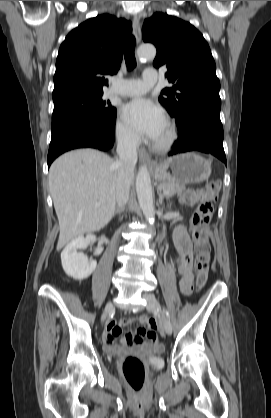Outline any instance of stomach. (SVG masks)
<instances>
[{
  "label": "stomach",
  "instance_id": "stomach-1",
  "mask_svg": "<svg viewBox=\"0 0 271 418\" xmlns=\"http://www.w3.org/2000/svg\"><path fill=\"white\" fill-rule=\"evenodd\" d=\"M211 163L196 153L173 156L156 165L153 175L160 183H200L209 178Z\"/></svg>",
  "mask_w": 271,
  "mask_h": 418
}]
</instances>
